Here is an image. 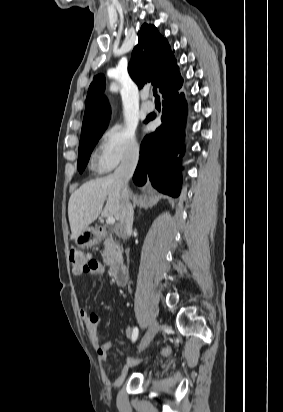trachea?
Wrapping results in <instances>:
<instances>
[{
  "label": "trachea",
  "mask_w": 283,
  "mask_h": 412,
  "mask_svg": "<svg viewBox=\"0 0 283 412\" xmlns=\"http://www.w3.org/2000/svg\"><path fill=\"white\" fill-rule=\"evenodd\" d=\"M153 95L155 96V101H160V97L157 95V88H153Z\"/></svg>",
  "instance_id": "1"
}]
</instances>
